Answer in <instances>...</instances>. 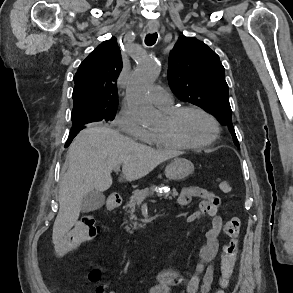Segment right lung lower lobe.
I'll return each mask as SVG.
<instances>
[{
    "label": "right lung lower lobe",
    "instance_id": "98d812e1",
    "mask_svg": "<svg viewBox=\"0 0 293 293\" xmlns=\"http://www.w3.org/2000/svg\"><path fill=\"white\" fill-rule=\"evenodd\" d=\"M86 125H75L71 127L69 138L65 143V147H68L72 142L73 138L79 133L80 130L84 129Z\"/></svg>",
    "mask_w": 293,
    "mask_h": 293
}]
</instances>
